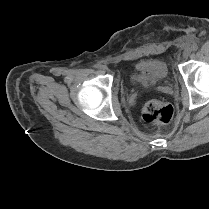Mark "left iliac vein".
Returning a JSON list of instances; mask_svg holds the SVG:
<instances>
[{"label": "left iliac vein", "mask_w": 209, "mask_h": 209, "mask_svg": "<svg viewBox=\"0 0 209 209\" xmlns=\"http://www.w3.org/2000/svg\"><path fill=\"white\" fill-rule=\"evenodd\" d=\"M190 54H191L190 49H186V50L184 51V53H183V57H184L185 59H187V58L190 56Z\"/></svg>", "instance_id": "obj_1"}]
</instances>
